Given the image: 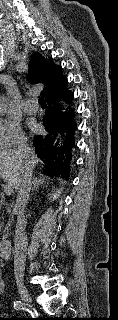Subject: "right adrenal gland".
<instances>
[{
	"mask_svg": "<svg viewBox=\"0 0 118 320\" xmlns=\"http://www.w3.org/2000/svg\"><path fill=\"white\" fill-rule=\"evenodd\" d=\"M41 180H39L37 177L33 178V186L31 188V191L33 192L36 188H38L39 184H40Z\"/></svg>",
	"mask_w": 118,
	"mask_h": 320,
	"instance_id": "obj_1",
	"label": "right adrenal gland"
}]
</instances>
